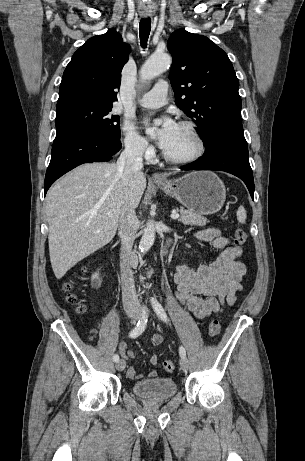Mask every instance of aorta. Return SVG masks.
<instances>
[{"mask_svg":"<svg viewBox=\"0 0 305 461\" xmlns=\"http://www.w3.org/2000/svg\"><path fill=\"white\" fill-rule=\"evenodd\" d=\"M171 64V57L168 54H154L141 67L140 76L142 80H152L160 75ZM155 225L153 220H149L143 230V235L139 243L141 253H146L155 241Z\"/></svg>","mask_w":305,"mask_h":461,"instance_id":"obj_1","label":"aorta"}]
</instances>
